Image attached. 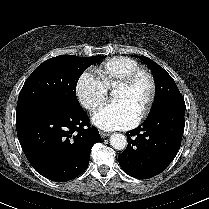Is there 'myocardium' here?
<instances>
[{
  "mask_svg": "<svg viewBox=\"0 0 209 209\" xmlns=\"http://www.w3.org/2000/svg\"><path fill=\"white\" fill-rule=\"evenodd\" d=\"M139 76H145L150 84L149 96L142 111L139 113L137 121L143 120L150 112L156 98L157 83L154 75L146 68L138 67L131 71L117 86L116 89L130 88Z\"/></svg>",
  "mask_w": 209,
  "mask_h": 209,
  "instance_id": "1",
  "label": "myocardium"
}]
</instances>
